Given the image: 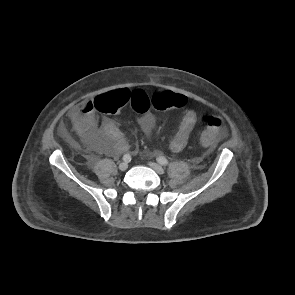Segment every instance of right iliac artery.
Listing matches in <instances>:
<instances>
[{"instance_id":"obj_1","label":"right iliac artery","mask_w":295,"mask_h":295,"mask_svg":"<svg viewBox=\"0 0 295 295\" xmlns=\"http://www.w3.org/2000/svg\"><path fill=\"white\" fill-rule=\"evenodd\" d=\"M123 160H124L125 162H130V161H131V156H130L129 154H125V155L123 156Z\"/></svg>"}]
</instances>
